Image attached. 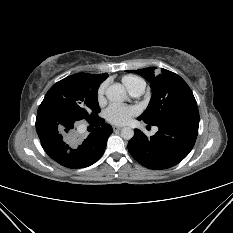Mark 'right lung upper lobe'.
I'll list each match as a JSON object with an SVG mask.
<instances>
[{
	"instance_id": "right-lung-upper-lobe-1",
	"label": "right lung upper lobe",
	"mask_w": 233,
	"mask_h": 233,
	"mask_svg": "<svg viewBox=\"0 0 233 233\" xmlns=\"http://www.w3.org/2000/svg\"><path fill=\"white\" fill-rule=\"evenodd\" d=\"M86 74L98 84L103 82L108 77L107 73H104V74H88V73H86Z\"/></svg>"
}]
</instances>
